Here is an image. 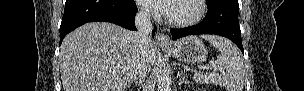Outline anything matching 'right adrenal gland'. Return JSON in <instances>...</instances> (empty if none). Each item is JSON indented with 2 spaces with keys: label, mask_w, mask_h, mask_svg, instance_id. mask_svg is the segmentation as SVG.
Listing matches in <instances>:
<instances>
[{
  "label": "right adrenal gland",
  "mask_w": 304,
  "mask_h": 91,
  "mask_svg": "<svg viewBox=\"0 0 304 91\" xmlns=\"http://www.w3.org/2000/svg\"><path fill=\"white\" fill-rule=\"evenodd\" d=\"M132 83H135L136 86L137 85L140 86L141 83H142V81H141V79H138V78L134 77L133 80L127 85V87L130 88V86H131Z\"/></svg>",
  "instance_id": "1"
}]
</instances>
